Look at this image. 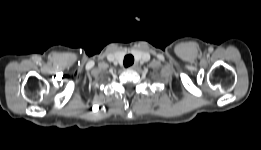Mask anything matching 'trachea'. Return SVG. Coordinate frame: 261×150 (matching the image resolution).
<instances>
[{
    "label": "trachea",
    "instance_id": "3493384b",
    "mask_svg": "<svg viewBox=\"0 0 261 150\" xmlns=\"http://www.w3.org/2000/svg\"><path fill=\"white\" fill-rule=\"evenodd\" d=\"M123 63L125 67L131 66L134 63V57L132 55H126Z\"/></svg>",
    "mask_w": 261,
    "mask_h": 150
}]
</instances>
